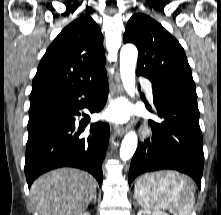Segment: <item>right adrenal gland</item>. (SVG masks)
<instances>
[{
	"label": "right adrenal gland",
	"instance_id": "2a0ac1e0",
	"mask_svg": "<svg viewBox=\"0 0 221 215\" xmlns=\"http://www.w3.org/2000/svg\"><path fill=\"white\" fill-rule=\"evenodd\" d=\"M96 193H95V195H94V199H93V203H95L96 202Z\"/></svg>",
	"mask_w": 221,
	"mask_h": 215
}]
</instances>
